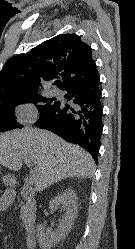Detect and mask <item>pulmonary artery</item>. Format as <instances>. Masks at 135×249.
<instances>
[{
	"label": "pulmonary artery",
	"mask_w": 135,
	"mask_h": 249,
	"mask_svg": "<svg viewBox=\"0 0 135 249\" xmlns=\"http://www.w3.org/2000/svg\"><path fill=\"white\" fill-rule=\"evenodd\" d=\"M51 94L53 95V96H60L61 95V91L58 89V88H53L52 90H51Z\"/></svg>",
	"instance_id": "e3ab8cb5"
}]
</instances>
